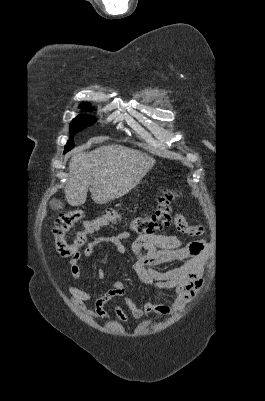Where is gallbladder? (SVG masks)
<instances>
[{"label":"gallbladder","mask_w":265,"mask_h":401,"mask_svg":"<svg viewBox=\"0 0 265 401\" xmlns=\"http://www.w3.org/2000/svg\"><path fill=\"white\" fill-rule=\"evenodd\" d=\"M51 209L54 211H59V209H63V203L61 201H57V198H52V201L49 203Z\"/></svg>","instance_id":"gallbladder-1"}]
</instances>
